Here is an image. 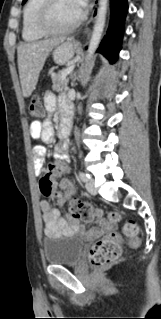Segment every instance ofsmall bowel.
Wrapping results in <instances>:
<instances>
[{"label":"small bowel","mask_w":161,"mask_h":319,"mask_svg":"<svg viewBox=\"0 0 161 319\" xmlns=\"http://www.w3.org/2000/svg\"><path fill=\"white\" fill-rule=\"evenodd\" d=\"M45 108L49 113H53L59 106L63 117H71V108L65 96L56 97L52 92H48L44 98ZM30 137L33 140L42 141L45 144H50L54 140V129L49 121H33L30 126ZM67 146L59 145L57 149L55 163L48 166V171L53 175H60L67 170V165L70 162V157L66 153ZM34 153V168L36 173H41L44 167L46 150L39 144L33 146ZM75 190L68 188L65 193L58 198L59 206H65L70 200L73 199ZM39 208L44 221V232L46 236H54L58 234H73L83 229V227L76 220H67L62 217L57 209L52 208L47 200H42L39 203ZM100 225L99 229L87 232L90 237H96L103 232L110 230L112 227L105 219L98 220Z\"/></svg>","instance_id":"1"}]
</instances>
